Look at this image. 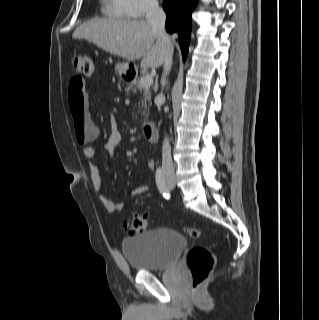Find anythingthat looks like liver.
Masks as SVG:
<instances>
[{"mask_svg":"<svg viewBox=\"0 0 319 320\" xmlns=\"http://www.w3.org/2000/svg\"><path fill=\"white\" fill-rule=\"evenodd\" d=\"M73 39H85L102 50L135 61L142 58L143 67H159L173 46L158 38L157 32L144 20L92 19L76 28Z\"/></svg>","mask_w":319,"mask_h":320,"instance_id":"obj_1","label":"liver"}]
</instances>
